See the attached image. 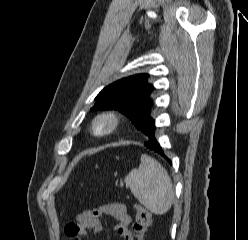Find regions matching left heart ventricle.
Instances as JSON below:
<instances>
[{
  "mask_svg": "<svg viewBox=\"0 0 248 240\" xmlns=\"http://www.w3.org/2000/svg\"><path fill=\"white\" fill-rule=\"evenodd\" d=\"M107 127H108V122L105 120L100 121L97 125L98 130H103L106 129Z\"/></svg>",
  "mask_w": 248,
  "mask_h": 240,
  "instance_id": "left-heart-ventricle-1",
  "label": "left heart ventricle"
}]
</instances>
